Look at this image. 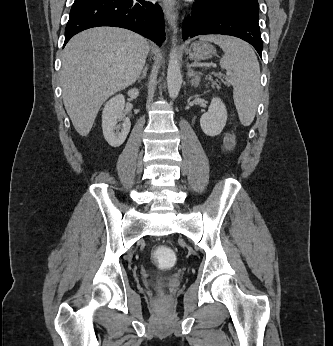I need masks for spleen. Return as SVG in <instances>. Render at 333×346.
I'll return each mask as SVG.
<instances>
[{
    "label": "spleen",
    "instance_id": "1",
    "mask_svg": "<svg viewBox=\"0 0 333 346\" xmlns=\"http://www.w3.org/2000/svg\"><path fill=\"white\" fill-rule=\"evenodd\" d=\"M201 41H211L224 51L221 68L231 71L229 78L233 86L234 103L239 119L244 126L254 120L261 91L258 59L247 43L234 37L206 35Z\"/></svg>",
    "mask_w": 333,
    "mask_h": 346
}]
</instances>
